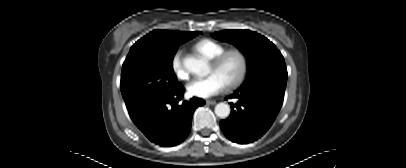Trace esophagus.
I'll use <instances>...</instances> for the list:
<instances>
[{"label":"esophagus","instance_id":"1","mask_svg":"<svg viewBox=\"0 0 406 168\" xmlns=\"http://www.w3.org/2000/svg\"><path fill=\"white\" fill-rule=\"evenodd\" d=\"M206 104L207 105H215L216 101H214V100H206Z\"/></svg>","mask_w":406,"mask_h":168}]
</instances>
